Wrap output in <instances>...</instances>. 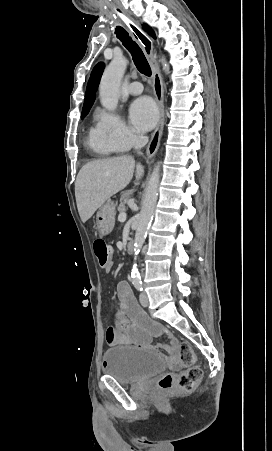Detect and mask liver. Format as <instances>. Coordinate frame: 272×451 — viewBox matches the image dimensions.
<instances>
[{
    "instance_id": "obj_1",
    "label": "liver",
    "mask_w": 272,
    "mask_h": 451,
    "mask_svg": "<svg viewBox=\"0 0 272 451\" xmlns=\"http://www.w3.org/2000/svg\"><path fill=\"white\" fill-rule=\"evenodd\" d=\"M135 160L131 156L94 160L81 168L75 182V198L82 222H87L102 204L124 190L134 174ZM144 166L137 164L136 180L142 178Z\"/></svg>"
}]
</instances>
